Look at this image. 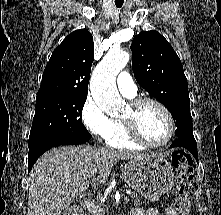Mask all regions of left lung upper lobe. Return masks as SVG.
Returning <instances> with one entry per match:
<instances>
[{"label":"left lung upper lobe","instance_id":"left-lung-upper-lobe-1","mask_svg":"<svg viewBox=\"0 0 221 215\" xmlns=\"http://www.w3.org/2000/svg\"><path fill=\"white\" fill-rule=\"evenodd\" d=\"M131 50L137 82L170 111L175 135L194 137L188 83L172 46L157 31H143L134 37Z\"/></svg>","mask_w":221,"mask_h":215}]
</instances>
